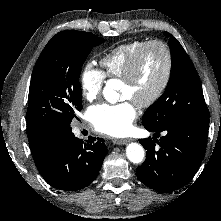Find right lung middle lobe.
<instances>
[{
  "mask_svg": "<svg viewBox=\"0 0 221 221\" xmlns=\"http://www.w3.org/2000/svg\"><path fill=\"white\" fill-rule=\"evenodd\" d=\"M105 40L89 32L57 33L41 52L31 78L26 115L29 145L71 129L82 109L81 66Z\"/></svg>",
  "mask_w": 221,
  "mask_h": 221,
  "instance_id": "obj_1",
  "label": "right lung middle lobe"
}]
</instances>
